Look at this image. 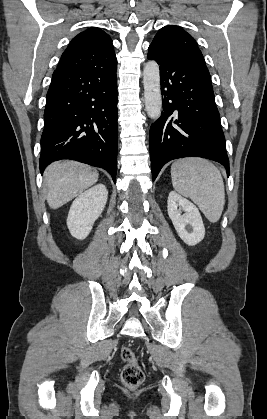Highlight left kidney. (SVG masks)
I'll return each mask as SVG.
<instances>
[{
    "label": "left kidney",
    "instance_id": "5707ae66",
    "mask_svg": "<svg viewBox=\"0 0 267 419\" xmlns=\"http://www.w3.org/2000/svg\"><path fill=\"white\" fill-rule=\"evenodd\" d=\"M167 203L169 218L179 237L189 246L201 242L205 236V228L198 208L174 191L169 193ZM182 210L184 214H181Z\"/></svg>",
    "mask_w": 267,
    "mask_h": 419
}]
</instances>
